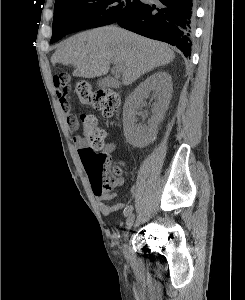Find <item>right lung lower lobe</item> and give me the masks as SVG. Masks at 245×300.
Listing matches in <instances>:
<instances>
[{
    "label": "right lung lower lobe",
    "mask_w": 245,
    "mask_h": 300,
    "mask_svg": "<svg viewBox=\"0 0 245 300\" xmlns=\"http://www.w3.org/2000/svg\"><path fill=\"white\" fill-rule=\"evenodd\" d=\"M195 0H142L130 14L115 23L145 37L167 42L190 56L194 23ZM56 27L65 36L76 32V26L59 20Z\"/></svg>",
    "instance_id": "right-lung-lower-lobe-1"
}]
</instances>
